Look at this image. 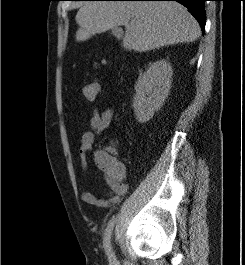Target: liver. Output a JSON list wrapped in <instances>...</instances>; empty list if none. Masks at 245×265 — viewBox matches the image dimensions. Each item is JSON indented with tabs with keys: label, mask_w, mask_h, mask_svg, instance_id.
<instances>
[{
	"label": "liver",
	"mask_w": 245,
	"mask_h": 265,
	"mask_svg": "<svg viewBox=\"0 0 245 265\" xmlns=\"http://www.w3.org/2000/svg\"><path fill=\"white\" fill-rule=\"evenodd\" d=\"M75 19L78 42L124 25L123 47L130 51L193 42L201 35L198 22L174 1H87L80 4Z\"/></svg>",
	"instance_id": "1"
}]
</instances>
